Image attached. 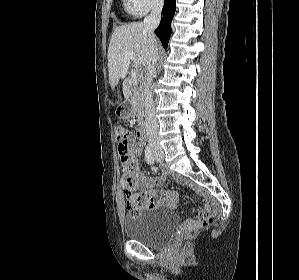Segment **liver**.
Masks as SVG:
<instances>
[{"label": "liver", "mask_w": 299, "mask_h": 280, "mask_svg": "<svg viewBox=\"0 0 299 280\" xmlns=\"http://www.w3.org/2000/svg\"><path fill=\"white\" fill-rule=\"evenodd\" d=\"M133 52V67L147 70L149 58V43L144 25L140 22L129 23L117 27L110 39L108 49L109 82L114 88L121 78H124L130 67V62L125 61V53ZM123 94L129 98L131 91L126 80L123 84Z\"/></svg>", "instance_id": "obj_1"}]
</instances>
